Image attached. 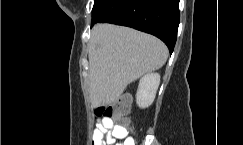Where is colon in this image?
Segmentation results:
<instances>
[{
    "label": "colon",
    "instance_id": "colon-1",
    "mask_svg": "<svg viewBox=\"0 0 243 145\" xmlns=\"http://www.w3.org/2000/svg\"><path fill=\"white\" fill-rule=\"evenodd\" d=\"M130 108V98L127 95L121 96L114 104L107 107H98L95 111L97 117L101 119H112L117 121L121 127H129L130 121L128 112Z\"/></svg>",
    "mask_w": 243,
    "mask_h": 145
}]
</instances>
